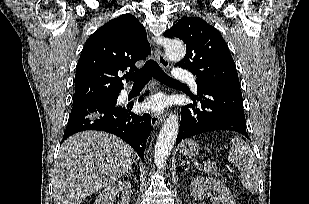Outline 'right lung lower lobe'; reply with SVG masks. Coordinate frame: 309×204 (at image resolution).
I'll list each match as a JSON object with an SVG mask.
<instances>
[{"label":"right lung lower lobe","instance_id":"obj_1","mask_svg":"<svg viewBox=\"0 0 309 204\" xmlns=\"http://www.w3.org/2000/svg\"><path fill=\"white\" fill-rule=\"evenodd\" d=\"M118 95L109 101L73 106L62 142L80 131H106L126 141L144 160V147L151 132L150 115L132 113L133 104H128L127 107L117 106Z\"/></svg>","mask_w":309,"mask_h":204}]
</instances>
